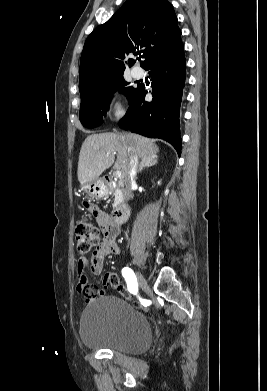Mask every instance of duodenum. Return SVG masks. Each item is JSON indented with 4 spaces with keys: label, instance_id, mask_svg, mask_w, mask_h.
I'll use <instances>...</instances> for the list:
<instances>
[{
    "label": "duodenum",
    "instance_id": "duodenum-1",
    "mask_svg": "<svg viewBox=\"0 0 267 391\" xmlns=\"http://www.w3.org/2000/svg\"><path fill=\"white\" fill-rule=\"evenodd\" d=\"M129 214L130 211L127 207L117 208L111 216V227L115 230L118 229L128 219Z\"/></svg>",
    "mask_w": 267,
    "mask_h": 391
}]
</instances>
